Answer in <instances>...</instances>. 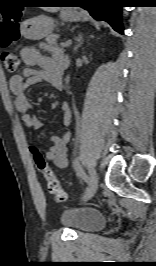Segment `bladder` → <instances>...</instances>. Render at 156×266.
Returning <instances> with one entry per match:
<instances>
[{
	"instance_id": "1",
	"label": "bladder",
	"mask_w": 156,
	"mask_h": 266,
	"mask_svg": "<svg viewBox=\"0 0 156 266\" xmlns=\"http://www.w3.org/2000/svg\"><path fill=\"white\" fill-rule=\"evenodd\" d=\"M61 223L76 232H91L101 229L105 218L101 212L90 207L70 206L60 216Z\"/></svg>"
}]
</instances>
